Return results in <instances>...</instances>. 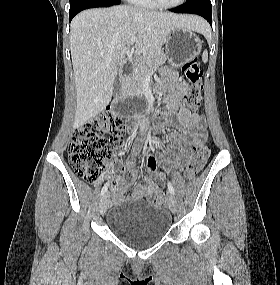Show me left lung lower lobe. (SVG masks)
Segmentation results:
<instances>
[{
  "label": "left lung lower lobe",
  "instance_id": "1",
  "mask_svg": "<svg viewBox=\"0 0 280 285\" xmlns=\"http://www.w3.org/2000/svg\"><path fill=\"white\" fill-rule=\"evenodd\" d=\"M175 13H192L204 17L212 26V5L210 0H188L185 4L171 9Z\"/></svg>",
  "mask_w": 280,
  "mask_h": 285
}]
</instances>
